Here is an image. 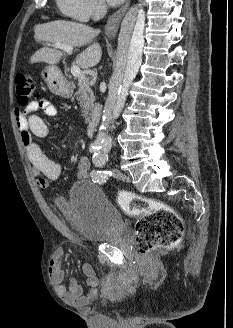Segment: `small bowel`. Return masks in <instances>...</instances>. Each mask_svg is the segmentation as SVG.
<instances>
[{
    "label": "small bowel",
    "mask_w": 233,
    "mask_h": 328,
    "mask_svg": "<svg viewBox=\"0 0 233 328\" xmlns=\"http://www.w3.org/2000/svg\"><path fill=\"white\" fill-rule=\"evenodd\" d=\"M41 110L48 117H55L58 110L47 99L31 101L23 111L16 109L15 117L21 139L28 159L32 165L33 175L41 188H47L50 181L56 180L61 173V166L48 158L35 141V137L43 138L49 133L44 120L36 114ZM90 162L87 157H81L77 164V177L85 179L88 174ZM64 251L55 250L49 260L48 270L56 292L65 302L71 304H85L92 301L97 293L98 279L92 266L83 264L82 272L85 276L87 290L83 291L76 279H71L68 287L64 285L65 272L62 268Z\"/></svg>",
    "instance_id": "1"
}]
</instances>
